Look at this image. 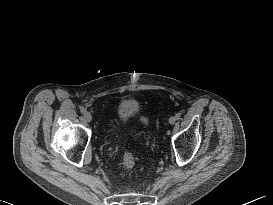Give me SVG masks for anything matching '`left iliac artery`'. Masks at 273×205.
<instances>
[{
	"label": "left iliac artery",
	"instance_id": "obj_1",
	"mask_svg": "<svg viewBox=\"0 0 273 205\" xmlns=\"http://www.w3.org/2000/svg\"><path fill=\"white\" fill-rule=\"evenodd\" d=\"M175 117H176V119L178 120V119L181 118V114H180V113H177V114L175 115Z\"/></svg>",
	"mask_w": 273,
	"mask_h": 205
}]
</instances>
